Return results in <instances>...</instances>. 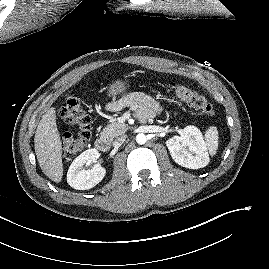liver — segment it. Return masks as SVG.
Here are the masks:
<instances>
[{"mask_svg":"<svg viewBox=\"0 0 269 269\" xmlns=\"http://www.w3.org/2000/svg\"><path fill=\"white\" fill-rule=\"evenodd\" d=\"M34 148L43 173L59 183L63 176L62 147L54 107L46 111L37 126Z\"/></svg>","mask_w":269,"mask_h":269,"instance_id":"1","label":"liver"}]
</instances>
